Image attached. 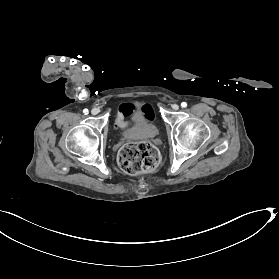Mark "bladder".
I'll return each mask as SVG.
<instances>
[{
    "instance_id": "bladder-1",
    "label": "bladder",
    "mask_w": 279,
    "mask_h": 279,
    "mask_svg": "<svg viewBox=\"0 0 279 279\" xmlns=\"http://www.w3.org/2000/svg\"><path fill=\"white\" fill-rule=\"evenodd\" d=\"M130 115L123 121L124 131L121 134L126 138H151L159 131V125H155L154 118L146 114V110L132 108Z\"/></svg>"
}]
</instances>
